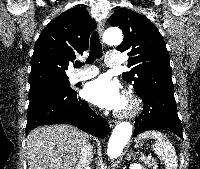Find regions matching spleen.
<instances>
[{
  "label": "spleen",
  "instance_id": "obj_1",
  "mask_svg": "<svg viewBox=\"0 0 200 169\" xmlns=\"http://www.w3.org/2000/svg\"><path fill=\"white\" fill-rule=\"evenodd\" d=\"M154 139L153 151L164 162L166 169H177L178 160L176 151L167 139V137L159 131H146L139 135V139Z\"/></svg>",
  "mask_w": 200,
  "mask_h": 169
}]
</instances>
